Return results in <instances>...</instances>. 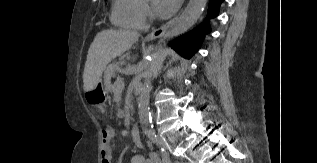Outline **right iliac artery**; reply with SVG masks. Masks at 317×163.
<instances>
[{
	"mask_svg": "<svg viewBox=\"0 0 317 163\" xmlns=\"http://www.w3.org/2000/svg\"><path fill=\"white\" fill-rule=\"evenodd\" d=\"M162 161L163 163H171L168 153H163Z\"/></svg>",
	"mask_w": 317,
	"mask_h": 163,
	"instance_id": "obj_1",
	"label": "right iliac artery"
}]
</instances>
